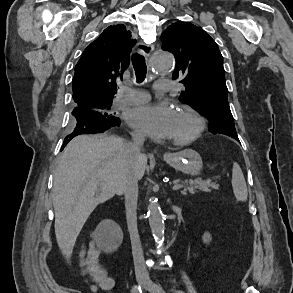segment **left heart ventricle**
I'll use <instances>...</instances> for the list:
<instances>
[{
	"instance_id": "left-heart-ventricle-1",
	"label": "left heart ventricle",
	"mask_w": 293,
	"mask_h": 293,
	"mask_svg": "<svg viewBox=\"0 0 293 293\" xmlns=\"http://www.w3.org/2000/svg\"><path fill=\"white\" fill-rule=\"evenodd\" d=\"M194 129V121L186 115L175 113L172 131L169 138L171 140L183 138L192 133Z\"/></svg>"
}]
</instances>
